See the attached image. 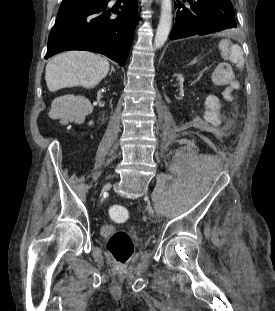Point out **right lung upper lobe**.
I'll return each mask as SVG.
<instances>
[{"mask_svg": "<svg viewBox=\"0 0 275 311\" xmlns=\"http://www.w3.org/2000/svg\"><path fill=\"white\" fill-rule=\"evenodd\" d=\"M67 1H73V0H63V2H67Z\"/></svg>", "mask_w": 275, "mask_h": 311, "instance_id": "cb5924a9", "label": "right lung upper lobe"}]
</instances>
